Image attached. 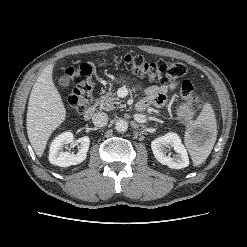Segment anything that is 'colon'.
I'll use <instances>...</instances> for the list:
<instances>
[{"instance_id": "colon-1", "label": "colon", "mask_w": 247, "mask_h": 247, "mask_svg": "<svg viewBox=\"0 0 247 247\" xmlns=\"http://www.w3.org/2000/svg\"><path fill=\"white\" fill-rule=\"evenodd\" d=\"M115 62L141 78L161 82H173L187 73V67L183 63L173 61L148 62L139 55L119 56ZM65 74L75 83V88L68 96L67 106L72 111L82 113L91 101L94 90L92 68L87 63H81L68 67ZM180 94L191 105L199 103V98L194 93V86L190 80L181 82Z\"/></svg>"}]
</instances>
